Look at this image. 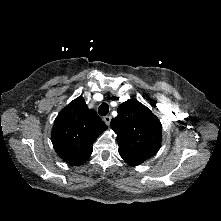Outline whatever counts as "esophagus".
<instances>
[{
	"label": "esophagus",
	"instance_id": "34e87169",
	"mask_svg": "<svg viewBox=\"0 0 221 221\" xmlns=\"http://www.w3.org/2000/svg\"><path fill=\"white\" fill-rule=\"evenodd\" d=\"M111 116H105L104 118H103V120H104V122L109 126L110 125V122H111Z\"/></svg>",
	"mask_w": 221,
	"mask_h": 221
}]
</instances>
